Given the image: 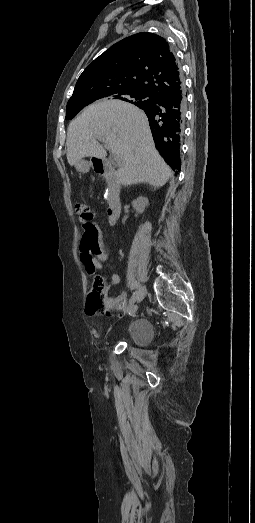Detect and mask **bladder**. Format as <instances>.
<instances>
[{
  "instance_id": "bladder-1",
  "label": "bladder",
  "mask_w": 255,
  "mask_h": 523,
  "mask_svg": "<svg viewBox=\"0 0 255 523\" xmlns=\"http://www.w3.org/2000/svg\"><path fill=\"white\" fill-rule=\"evenodd\" d=\"M151 326V322L148 320H138L129 327L127 338L130 342L144 345L153 338Z\"/></svg>"
}]
</instances>
